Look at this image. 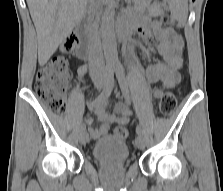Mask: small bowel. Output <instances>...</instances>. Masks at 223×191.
I'll use <instances>...</instances> for the list:
<instances>
[{
    "instance_id": "c3829d8e",
    "label": "small bowel",
    "mask_w": 223,
    "mask_h": 191,
    "mask_svg": "<svg viewBox=\"0 0 223 191\" xmlns=\"http://www.w3.org/2000/svg\"><path fill=\"white\" fill-rule=\"evenodd\" d=\"M154 14L159 13L158 6L152 7ZM126 27L129 31L138 33L143 39L149 41L155 38L157 42V51L162 56L163 61L155 64H150L146 70V76L151 83L161 82L166 88L174 89L181 81L180 69L183 64L182 51L184 46L183 38L172 29L163 28L160 21L156 19H146L144 21H132ZM87 71L84 66L79 73L83 76ZM154 96L159 98L163 95L161 87L154 89ZM97 116L98 127H93V119L90 117L84 118V126L88 127L90 136L93 139H98L105 136L113 123L126 125L131 116V111L126 103L117 102L113 105V113L108 114L107 99L101 100L93 108Z\"/></svg>"
}]
</instances>
